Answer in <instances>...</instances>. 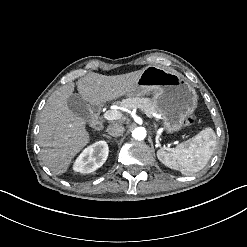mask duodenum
<instances>
[{"instance_id":"1","label":"duodenum","mask_w":247,"mask_h":247,"mask_svg":"<svg viewBox=\"0 0 247 247\" xmlns=\"http://www.w3.org/2000/svg\"><path fill=\"white\" fill-rule=\"evenodd\" d=\"M90 111H91L92 117L95 120V126L97 128H101L103 126V123H102V121L99 118V115L101 113L100 108L98 106H96V105H91L90 106Z\"/></svg>"}]
</instances>
